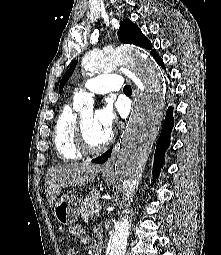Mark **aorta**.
I'll return each instance as SVG.
<instances>
[{
  "label": "aorta",
  "instance_id": "762f6f07",
  "mask_svg": "<svg viewBox=\"0 0 221 255\" xmlns=\"http://www.w3.org/2000/svg\"><path fill=\"white\" fill-rule=\"evenodd\" d=\"M82 64L90 76L95 71L125 66L140 89L130 127L120 142L115 163L117 185L126 210L111 232L106 254L125 255L130 228L127 207L139 186L144 164L157 135L163 107V86L154 61L137 47H121L111 53L91 52L84 56ZM93 103L92 96L87 92L80 90L74 94L73 107L77 111L89 109Z\"/></svg>",
  "mask_w": 221,
  "mask_h": 255
}]
</instances>
